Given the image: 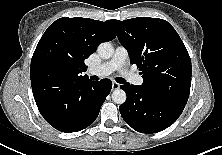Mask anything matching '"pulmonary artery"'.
<instances>
[{
	"instance_id": "obj_1",
	"label": "pulmonary artery",
	"mask_w": 222,
	"mask_h": 155,
	"mask_svg": "<svg viewBox=\"0 0 222 155\" xmlns=\"http://www.w3.org/2000/svg\"><path fill=\"white\" fill-rule=\"evenodd\" d=\"M127 59H128L127 49L123 46H117L110 60L102 63L97 67L88 69V74L104 77L118 70L131 83L135 85H141L143 83L142 77L125 68Z\"/></svg>"
}]
</instances>
